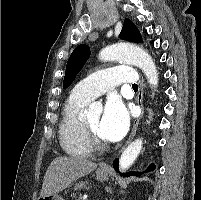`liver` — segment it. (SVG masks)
Here are the masks:
<instances>
[{
    "label": "liver",
    "instance_id": "1",
    "mask_svg": "<svg viewBox=\"0 0 201 200\" xmlns=\"http://www.w3.org/2000/svg\"><path fill=\"white\" fill-rule=\"evenodd\" d=\"M97 168V164L80 157H57L49 165L43 180L40 197L58 193L73 181Z\"/></svg>",
    "mask_w": 201,
    "mask_h": 200
}]
</instances>
